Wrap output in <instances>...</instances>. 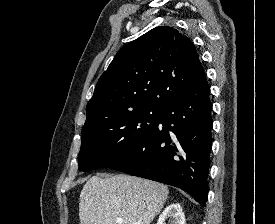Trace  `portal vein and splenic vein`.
Returning a JSON list of instances; mask_svg holds the SVG:
<instances>
[{"label":"portal vein and splenic vein","mask_w":275,"mask_h":224,"mask_svg":"<svg viewBox=\"0 0 275 224\" xmlns=\"http://www.w3.org/2000/svg\"><path fill=\"white\" fill-rule=\"evenodd\" d=\"M116 221H117L118 224H122L123 223V219L122 218H117ZM135 224H137V223H135Z\"/></svg>","instance_id":"1"}]
</instances>
